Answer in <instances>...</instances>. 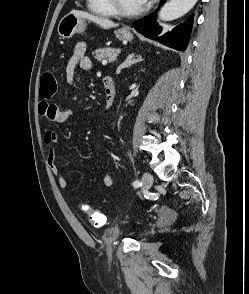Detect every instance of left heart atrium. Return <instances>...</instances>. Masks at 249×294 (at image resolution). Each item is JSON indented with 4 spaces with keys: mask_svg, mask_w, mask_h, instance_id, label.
Listing matches in <instances>:
<instances>
[{
    "mask_svg": "<svg viewBox=\"0 0 249 294\" xmlns=\"http://www.w3.org/2000/svg\"><path fill=\"white\" fill-rule=\"evenodd\" d=\"M148 0H140L141 4H145Z\"/></svg>",
    "mask_w": 249,
    "mask_h": 294,
    "instance_id": "39dd6f15",
    "label": "left heart atrium"
}]
</instances>
